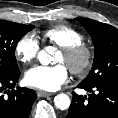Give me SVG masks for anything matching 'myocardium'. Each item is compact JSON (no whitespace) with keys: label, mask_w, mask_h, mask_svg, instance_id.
<instances>
[{"label":"myocardium","mask_w":118,"mask_h":118,"mask_svg":"<svg viewBox=\"0 0 118 118\" xmlns=\"http://www.w3.org/2000/svg\"><path fill=\"white\" fill-rule=\"evenodd\" d=\"M60 48L71 73L83 76L89 72L94 62V51L89 45L81 42Z\"/></svg>","instance_id":"myocardium-1"}]
</instances>
